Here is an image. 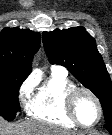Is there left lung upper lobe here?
I'll return each mask as SVG.
<instances>
[{"mask_svg": "<svg viewBox=\"0 0 112 135\" xmlns=\"http://www.w3.org/2000/svg\"><path fill=\"white\" fill-rule=\"evenodd\" d=\"M43 45L51 64L65 66L100 100L105 123H112V82L96 47L83 27L43 32Z\"/></svg>", "mask_w": 112, "mask_h": 135, "instance_id": "obj_1", "label": "left lung upper lobe"}]
</instances>
